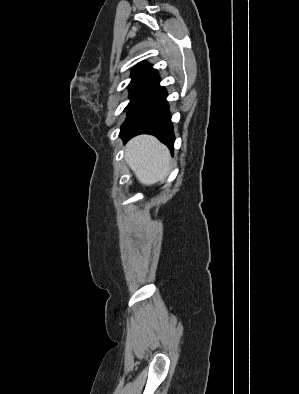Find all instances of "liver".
Segmentation results:
<instances>
[{"label": "liver", "mask_w": 299, "mask_h": 394, "mask_svg": "<svg viewBox=\"0 0 299 394\" xmlns=\"http://www.w3.org/2000/svg\"><path fill=\"white\" fill-rule=\"evenodd\" d=\"M125 160L143 185L163 181L171 168L169 150L151 135L131 139L125 147Z\"/></svg>", "instance_id": "obj_1"}]
</instances>
